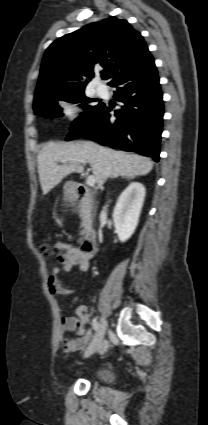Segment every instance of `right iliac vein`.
Here are the masks:
<instances>
[{"label":"right iliac vein","mask_w":208,"mask_h":425,"mask_svg":"<svg viewBox=\"0 0 208 425\" xmlns=\"http://www.w3.org/2000/svg\"><path fill=\"white\" fill-rule=\"evenodd\" d=\"M108 328V324L106 319L103 317L99 324V327L96 331V334L92 340V342L87 347L84 356L89 357L94 354L98 349L103 348V339Z\"/></svg>","instance_id":"63e3f726"}]
</instances>
